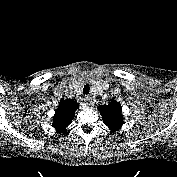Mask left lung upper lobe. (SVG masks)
I'll use <instances>...</instances> for the list:
<instances>
[{"instance_id": "1", "label": "left lung upper lobe", "mask_w": 177, "mask_h": 177, "mask_svg": "<svg viewBox=\"0 0 177 177\" xmlns=\"http://www.w3.org/2000/svg\"><path fill=\"white\" fill-rule=\"evenodd\" d=\"M105 125L112 131L120 129L124 123L122 108L119 102L111 100L108 105L99 107Z\"/></svg>"}]
</instances>
